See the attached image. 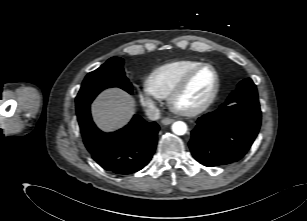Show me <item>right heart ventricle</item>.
Returning a JSON list of instances; mask_svg holds the SVG:
<instances>
[{"label":"right heart ventricle","instance_id":"1","mask_svg":"<svg viewBox=\"0 0 307 221\" xmlns=\"http://www.w3.org/2000/svg\"><path fill=\"white\" fill-rule=\"evenodd\" d=\"M203 64L196 60H179L153 69L145 79V90L153 97L167 99L181 80L193 69Z\"/></svg>","mask_w":307,"mask_h":221}]
</instances>
